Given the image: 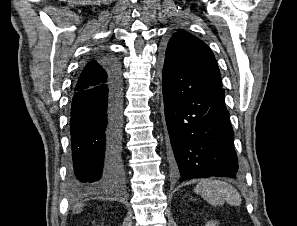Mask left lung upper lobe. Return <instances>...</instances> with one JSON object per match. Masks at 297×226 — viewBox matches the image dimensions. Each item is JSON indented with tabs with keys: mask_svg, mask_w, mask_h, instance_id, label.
Returning a JSON list of instances; mask_svg holds the SVG:
<instances>
[{
	"mask_svg": "<svg viewBox=\"0 0 297 226\" xmlns=\"http://www.w3.org/2000/svg\"><path fill=\"white\" fill-rule=\"evenodd\" d=\"M162 64L163 71L171 73L189 88L208 90L222 87L211 49L183 30H178L169 40Z\"/></svg>",
	"mask_w": 297,
	"mask_h": 226,
	"instance_id": "left-lung-upper-lobe-1",
	"label": "left lung upper lobe"
}]
</instances>
